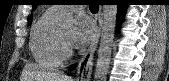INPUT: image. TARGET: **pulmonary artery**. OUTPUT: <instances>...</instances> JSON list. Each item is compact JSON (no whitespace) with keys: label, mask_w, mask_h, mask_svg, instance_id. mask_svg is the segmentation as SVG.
Returning <instances> with one entry per match:
<instances>
[{"label":"pulmonary artery","mask_w":169,"mask_h":81,"mask_svg":"<svg viewBox=\"0 0 169 81\" xmlns=\"http://www.w3.org/2000/svg\"><path fill=\"white\" fill-rule=\"evenodd\" d=\"M63 3H66V2H63ZM63 7L62 6H54V7H52L51 9H54V10H56V11H59V10H61Z\"/></svg>","instance_id":"pulmonary-artery-1"}]
</instances>
